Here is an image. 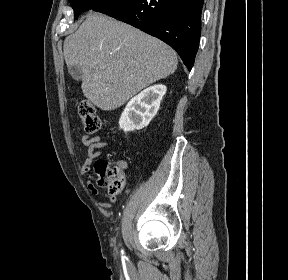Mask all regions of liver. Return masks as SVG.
<instances>
[{
    "instance_id": "obj_1",
    "label": "liver",
    "mask_w": 288,
    "mask_h": 280,
    "mask_svg": "<svg viewBox=\"0 0 288 280\" xmlns=\"http://www.w3.org/2000/svg\"><path fill=\"white\" fill-rule=\"evenodd\" d=\"M63 50L67 66L82 70L84 96L106 111L173 74L178 64L175 51L159 39L94 12L66 37Z\"/></svg>"
}]
</instances>
